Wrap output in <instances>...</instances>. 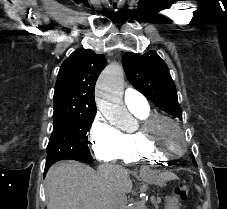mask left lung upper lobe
Returning a JSON list of instances; mask_svg holds the SVG:
<instances>
[{
    "mask_svg": "<svg viewBox=\"0 0 227 209\" xmlns=\"http://www.w3.org/2000/svg\"><path fill=\"white\" fill-rule=\"evenodd\" d=\"M122 63L129 82L138 91L164 112L173 117H182L175 84L168 67L154 51L144 55L125 53ZM192 160L195 163L193 156Z\"/></svg>",
    "mask_w": 227,
    "mask_h": 209,
    "instance_id": "obj_1",
    "label": "left lung upper lobe"
}]
</instances>
